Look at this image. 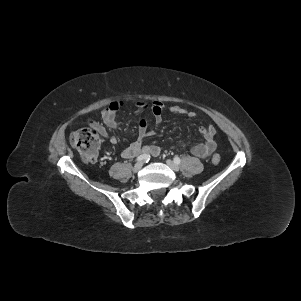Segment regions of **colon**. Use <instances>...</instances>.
Instances as JSON below:
<instances>
[{
	"instance_id": "5ec220e1",
	"label": "colon",
	"mask_w": 301,
	"mask_h": 301,
	"mask_svg": "<svg viewBox=\"0 0 301 301\" xmlns=\"http://www.w3.org/2000/svg\"><path fill=\"white\" fill-rule=\"evenodd\" d=\"M71 145L80 153L87 162H95L99 151V137L93 128H80L72 133L70 137ZM212 163L217 165L221 161L218 153L213 154Z\"/></svg>"
}]
</instances>
